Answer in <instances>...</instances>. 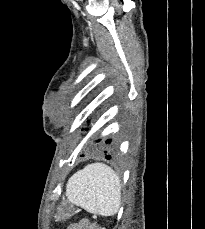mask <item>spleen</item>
Wrapping results in <instances>:
<instances>
[{
    "label": "spleen",
    "instance_id": "spleen-1",
    "mask_svg": "<svg viewBox=\"0 0 205 229\" xmlns=\"http://www.w3.org/2000/svg\"><path fill=\"white\" fill-rule=\"evenodd\" d=\"M66 196L69 202L87 212L112 216L121 205V182L109 166L88 164L69 179Z\"/></svg>",
    "mask_w": 205,
    "mask_h": 229
}]
</instances>
